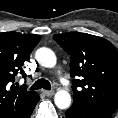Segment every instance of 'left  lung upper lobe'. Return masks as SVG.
Segmentation results:
<instances>
[{"mask_svg":"<svg viewBox=\"0 0 118 118\" xmlns=\"http://www.w3.org/2000/svg\"><path fill=\"white\" fill-rule=\"evenodd\" d=\"M71 56L73 104L114 112L118 108V52L106 39L80 32L56 34Z\"/></svg>","mask_w":118,"mask_h":118,"instance_id":"1","label":"left lung upper lobe"}]
</instances>
